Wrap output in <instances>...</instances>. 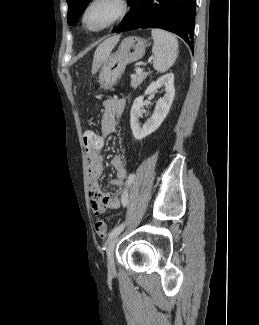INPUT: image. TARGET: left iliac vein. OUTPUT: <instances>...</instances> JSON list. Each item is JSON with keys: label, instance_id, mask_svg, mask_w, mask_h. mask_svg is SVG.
Returning a JSON list of instances; mask_svg holds the SVG:
<instances>
[{"label": "left iliac vein", "instance_id": "1", "mask_svg": "<svg viewBox=\"0 0 259 325\" xmlns=\"http://www.w3.org/2000/svg\"><path fill=\"white\" fill-rule=\"evenodd\" d=\"M118 240H119V236L117 234L109 242L107 251H106L107 252L108 271L111 276H114L116 274V268H115V262H114V250H115Z\"/></svg>", "mask_w": 259, "mask_h": 325}]
</instances>
